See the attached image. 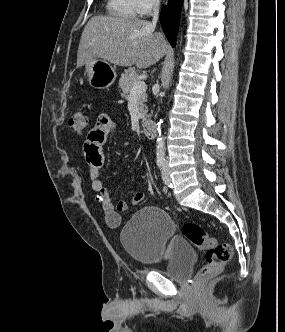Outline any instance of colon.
Returning a JSON list of instances; mask_svg holds the SVG:
<instances>
[{
	"instance_id": "5ec220e1",
	"label": "colon",
	"mask_w": 285,
	"mask_h": 332,
	"mask_svg": "<svg viewBox=\"0 0 285 332\" xmlns=\"http://www.w3.org/2000/svg\"><path fill=\"white\" fill-rule=\"evenodd\" d=\"M88 116L78 110L69 119V125L77 134H83L88 127ZM183 235L198 249L205 251V264L198 272L203 280L220 271L232 258V247L209 237L203 226L197 222H187L182 227Z\"/></svg>"
}]
</instances>
